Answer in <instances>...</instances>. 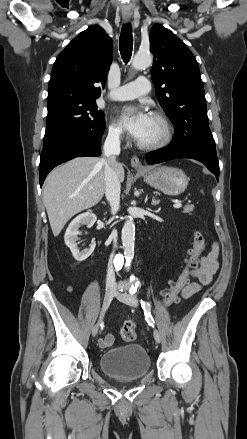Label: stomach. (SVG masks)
<instances>
[{"instance_id": "stomach-1", "label": "stomach", "mask_w": 247, "mask_h": 439, "mask_svg": "<svg viewBox=\"0 0 247 439\" xmlns=\"http://www.w3.org/2000/svg\"><path fill=\"white\" fill-rule=\"evenodd\" d=\"M139 173L150 186L171 196L183 193L189 182L186 174L175 167L158 166L139 170Z\"/></svg>"}]
</instances>
